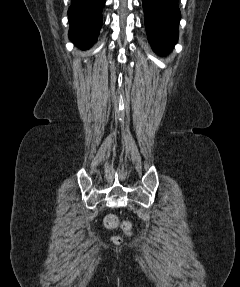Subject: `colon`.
I'll use <instances>...</instances> for the list:
<instances>
[{
	"instance_id": "obj_1",
	"label": "colon",
	"mask_w": 240,
	"mask_h": 287,
	"mask_svg": "<svg viewBox=\"0 0 240 287\" xmlns=\"http://www.w3.org/2000/svg\"><path fill=\"white\" fill-rule=\"evenodd\" d=\"M119 224H120L119 219L115 215H112V214L108 215L105 219V225L108 228H116L119 226ZM123 226L125 229L129 228V224L127 223L123 224Z\"/></svg>"
}]
</instances>
